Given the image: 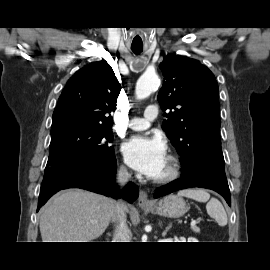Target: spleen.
<instances>
[{
  "label": "spleen",
  "mask_w": 270,
  "mask_h": 270,
  "mask_svg": "<svg viewBox=\"0 0 270 270\" xmlns=\"http://www.w3.org/2000/svg\"><path fill=\"white\" fill-rule=\"evenodd\" d=\"M179 196L194 199L198 202H207V213L213 217L218 225H227V214L221 202L216 198L210 199V194L202 189H185L178 192Z\"/></svg>",
  "instance_id": "3e777b00"
}]
</instances>
